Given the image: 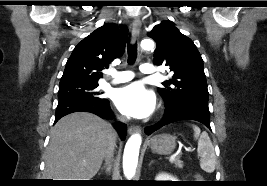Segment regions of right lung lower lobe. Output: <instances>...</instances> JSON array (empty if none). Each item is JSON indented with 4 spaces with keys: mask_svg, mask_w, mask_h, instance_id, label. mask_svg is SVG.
<instances>
[{
    "mask_svg": "<svg viewBox=\"0 0 267 186\" xmlns=\"http://www.w3.org/2000/svg\"><path fill=\"white\" fill-rule=\"evenodd\" d=\"M73 112H90L102 118L113 115L108 100H95L85 97H69L59 100L56 109L55 123L63 116ZM121 139L126 138L127 126L123 123L114 124Z\"/></svg>",
    "mask_w": 267,
    "mask_h": 186,
    "instance_id": "right-lung-lower-lobe-1",
    "label": "right lung lower lobe"
}]
</instances>
